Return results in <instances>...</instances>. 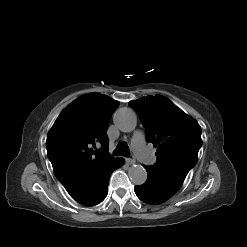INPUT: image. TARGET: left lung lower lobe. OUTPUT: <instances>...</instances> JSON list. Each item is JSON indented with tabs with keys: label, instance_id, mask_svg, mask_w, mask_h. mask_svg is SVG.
I'll use <instances>...</instances> for the list:
<instances>
[{
	"label": "left lung lower lobe",
	"instance_id": "obj_1",
	"mask_svg": "<svg viewBox=\"0 0 247 247\" xmlns=\"http://www.w3.org/2000/svg\"><path fill=\"white\" fill-rule=\"evenodd\" d=\"M148 172L147 181L134 188L137 197L147 204H161L171 198L179 189L151 166H145Z\"/></svg>",
	"mask_w": 247,
	"mask_h": 247
}]
</instances>
